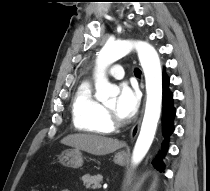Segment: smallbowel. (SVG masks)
Wrapping results in <instances>:
<instances>
[{
	"mask_svg": "<svg viewBox=\"0 0 210 191\" xmlns=\"http://www.w3.org/2000/svg\"><path fill=\"white\" fill-rule=\"evenodd\" d=\"M61 191H70V190H68V189H63V190H61Z\"/></svg>",
	"mask_w": 210,
	"mask_h": 191,
	"instance_id": "small-bowel-1",
	"label": "small bowel"
}]
</instances>
